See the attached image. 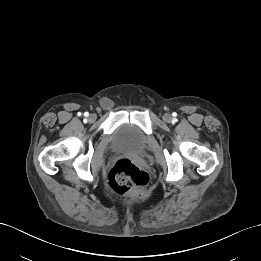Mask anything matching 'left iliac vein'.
I'll return each mask as SVG.
<instances>
[{"label":"left iliac vein","mask_w":261,"mask_h":261,"mask_svg":"<svg viewBox=\"0 0 261 261\" xmlns=\"http://www.w3.org/2000/svg\"><path fill=\"white\" fill-rule=\"evenodd\" d=\"M163 119H164L165 122L169 123V122H171L172 117H171L170 114H165Z\"/></svg>","instance_id":"left-iliac-vein-1"}]
</instances>
